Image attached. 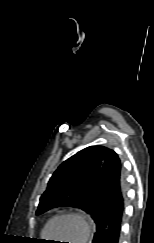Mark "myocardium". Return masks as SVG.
<instances>
[{
	"mask_svg": "<svg viewBox=\"0 0 154 243\" xmlns=\"http://www.w3.org/2000/svg\"><path fill=\"white\" fill-rule=\"evenodd\" d=\"M60 218H71L77 220L80 225H81V237L79 240V243H86L89 235H90V225L87 221V219L80 213L76 212H61L56 215H54L47 223L45 230H44V235L49 236V230L53 224L54 221Z\"/></svg>",
	"mask_w": 154,
	"mask_h": 243,
	"instance_id": "obj_1",
	"label": "myocardium"
}]
</instances>
